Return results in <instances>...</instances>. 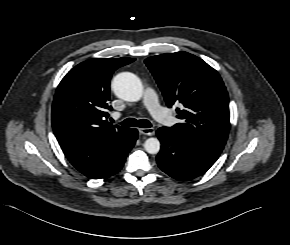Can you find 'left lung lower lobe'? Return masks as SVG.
Segmentation results:
<instances>
[{
    "mask_svg": "<svg viewBox=\"0 0 290 245\" xmlns=\"http://www.w3.org/2000/svg\"><path fill=\"white\" fill-rule=\"evenodd\" d=\"M162 144L157 163L171 177L188 181L204 174L218 159L221 152L182 139L168 127L157 130Z\"/></svg>",
    "mask_w": 290,
    "mask_h": 245,
    "instance_id": "0a47b994",
    "label": "left lung lower lobe"
}]
</instances>
